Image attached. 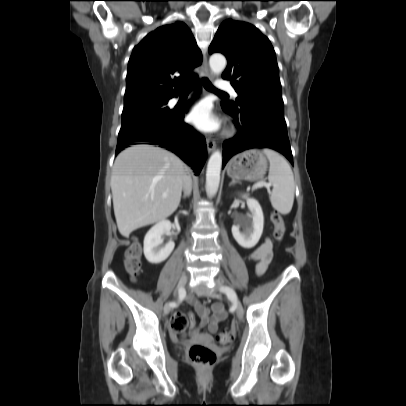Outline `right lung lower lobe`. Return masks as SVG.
<instances>
[{"label":"right lung lower lobe","mask_w":406,"mask_h":406,"mask_svg":"<svg viewBox=\"0 0 406 406\" xmlns=\"http://www.w3.org/2000/svg\"><path fill=\"white\" fill-rule=\"evenodd\" d=\"M201 89L200 85L196 91ZM184 110H173L172 115L154 127L118 135L116 154L130 145L147 143L166 148L194 167L198 175L207 157L206 141L192 127L184 123Z\"/></svg>","instance_id":"1"}]
</instances>
